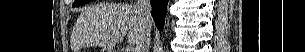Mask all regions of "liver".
Masks as SVG:
<instances>
[{
  "instance_id": "obj_1",
  "label": "liver",
  "mask_w": 305,
  "mask_h": 52,
  "mask_svg": "<svg viewBox=\"0 0 305 52\" xmlns=\"http://www.w3.org/2000/svg\"><path fill=\"white\" fill-rule=\"evenodd\" d=\"M76 27L83 33L84 39L93 45L113 46L123 40V34L129 33L128 42L138 44L145 28L135 5H95L79 16Z\"/></svg>"
}]
</instances>
